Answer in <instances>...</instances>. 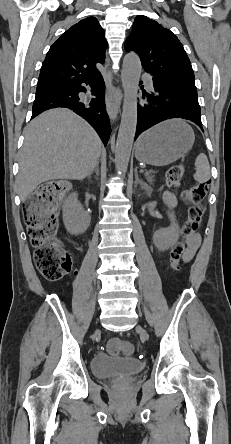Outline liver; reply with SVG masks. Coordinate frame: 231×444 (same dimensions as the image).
<instances>
[{
	"label": "liver",
	"mask_w": 231,
	"mask_h": 444,
	"mask_svg": "<svg viewBox=\"0 0 231 444\" xmlns=\"http://www.w3.org/2000/svg\"><path fill=\"white\" fill-rule=\"evenodd\" d=\"M24 137L17 176L22 201L42 182L84 179L95 168L102 149L95 130L66 108L37 116L25 129Z\"/></svg>",
	"instance_id": "6515ba94"
}]
</instances>
